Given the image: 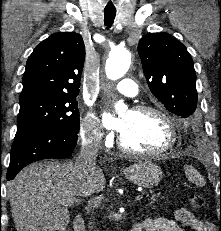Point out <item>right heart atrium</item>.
<instances>
[{
	"label": "right heart atrium",
	"mask_w": 221,
	"mask_h": 231,
	"mask_svg": "<svg viewBox=\"0 0 221 231\" xmlns=\"http://www.w3.org/2000/svg\"><path fill=\"white\" fill-rule=\"evenodd\" d=\"M80 137L86 143L96 146L101 144L103 136L93 114H88L83 119L80 127Z\"/></svg>",
	"instance_id": "obj_1"
}]
</instances>
